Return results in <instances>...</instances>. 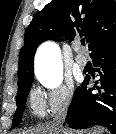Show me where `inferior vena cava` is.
I'll return each instance as SVG.
<instances>
[{"label":"inferior vena cava","instance_id":"1","mask_svg":"<svg viewBox=\"0 0 116 134\" xmlns=\"http://www.w3.org/2000/svg\"><path fill=\"white\" fill-rule=\"evenodd\" d=\"M65 117H66V111H62L58 114V116L55 118V128L58 129L59 131H63V127H62V123L64 122L65 120ZM62 133V132H61Z\"/></svg>","mask_w":116,"mask_h":134}]
</instances>
